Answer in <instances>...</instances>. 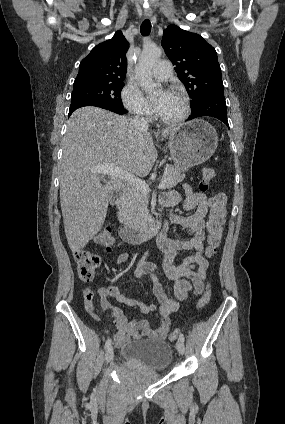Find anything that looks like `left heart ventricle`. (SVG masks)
<instances>
[{
    "mask_svg": "<svg viewBox=\"0 0 285 424\" xmlns=\"http://www.w3.org/2000/svg\"><path fill=\"white\" fill-rule=\"evenodd\" d=\"M162 95L159 94L155 97V105L159 104L157 112L165 119H175L181 116L184 112L185 105L183 99L173 93H169L168 96L162 100Z\"/></svg>",
    "mask_w": 285,
    "mask_h": 424,
    "instance_id": "left-heart-ventricle-1",
    "label": "left heart ventricle"
}]
</instances>
